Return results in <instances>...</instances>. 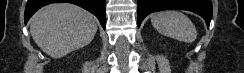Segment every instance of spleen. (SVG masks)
<instances>
[{
	"label": "spleen",
	"instance_id": "obj_1",
	"mask_svg": "<svg viewBox=\"0 0 244 73\" xmlns=\"http://www.w3.org/2000/svg\"><path fill=\"white\" fill-rule=\"evenodd\" d=\"M152 26L161 34L192 43L197 38V30L192 21L178 11H163L156 13L151 18Z\"/></svg>",
	"mask_w": 244,
	"mask_h": 73
}]
</instances>
